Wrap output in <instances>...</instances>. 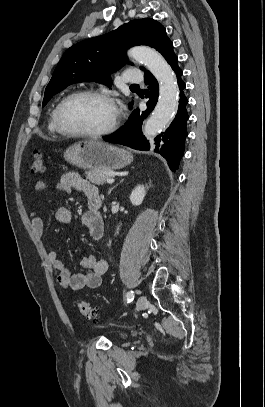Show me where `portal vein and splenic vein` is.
Masks as SVG:
<instances>
[{"instance_id": "18ae733b", "label": "portal vein and splenic vein", "mask_w": 265, "mask_h": 407, "mask_svg": "<svg viewBox=\"0 0 265 407\" xmlns=\"http://www.w3.org/2000/svg\"><path fill=\"white\" fill-rule=\"evenodd\" d=\"M106 181H107V183L111 184L114 182V178H108Z\"/></svg>"}]
</instances>
